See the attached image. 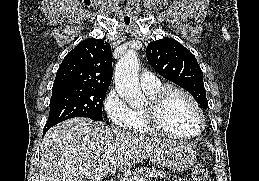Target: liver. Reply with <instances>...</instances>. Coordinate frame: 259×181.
<instances>
[{"label": "liver", "mask_w": 259, "mask_h": 181, "mask_svg": "<svg viewBox=\"0 0 259 181\" xmlns=\"http://www.w3.org/2000/svg\"><path fill=\"white\" fill-rule=\"evenodd\" d=\"M172 143L88 118H72L45 134L40 149V181H101L110 170H130Z\"/></svg>", "instance_id": "liver-1"}]
</instances>
